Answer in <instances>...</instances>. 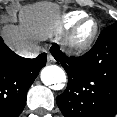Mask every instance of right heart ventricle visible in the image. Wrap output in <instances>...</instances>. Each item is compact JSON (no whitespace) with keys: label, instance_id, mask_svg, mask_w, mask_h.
<instances>
[{"label":"right heart ventricle","instance_id":"right-heart-ventricle-1","mask_svg":"<svg viewBox=\"0 0 117 117\" xmlns=\"http://www.w3.org/2000/svg\"><path fill=\"white\" fill-rule=\"evenodd\" d=\"M86 17V14L81 11H74L66 14L64 16V27L65 28H71L75 24H77L79 21L83 20Z\"/></svg>","mask_w":117,"mask_h":117}]
</instances>
